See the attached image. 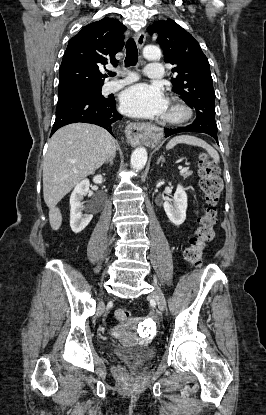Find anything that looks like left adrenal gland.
I'll list each match as a JSON object with an SVG mask.
<instances>
[{
  "label": "left adrenal gland",
  "mask_w": 266,
  "mask_h": 415,
  "mask_svg": "<svg viewBox=\"0 0 266 415\" xmlns=\"http://www.w3.org/2000/svg\"><path fill=\"white\" fill-rule=\"evenodd\" d=\"M160 162H163V163L165 162V159L163 156H160V158L157 161V164H159Z\"/></svg>",
  "instance_id": "a2214340"
}]
</instances>
